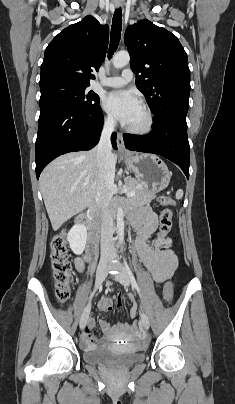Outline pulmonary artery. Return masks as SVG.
<instances>
[{
  "mask_svg": "<svg viewBox=\"0 0 235 404\" xmlns=\"http://www.w3.org/2000/svg\"><path fill=\"white\" fill-rule=\"evenodd\" d=\"M133 78V72L130 69L122 71L121 76H113L104 79L101 84L107 87H121L128 84Z\"/></svg>",
  "mask_w": 235,
  "mask_h": 404,
  "instance_id": "1",
  "label": "pulmonary artery"
}]
</instances>
